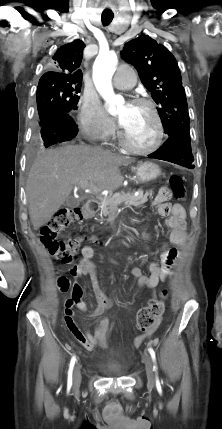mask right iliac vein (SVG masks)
<instances>
[{
  "label": "right iliac vein",
  "instance_id": "1",
  "mask_svg": "<svg viewBox=\"0 0 222 429\" xmlns=\"http://www.w3.org/2000/svg\"><path fill=\"white\" fill-rule=\"evenodd\" d=\"M73 383H74V388H78L80 386L81 383V372H80V366L77 365L74 369V373H73Z\"/></svg>",
  "mask_w": 222,
  "mask_h": 429
}]
</instances>
